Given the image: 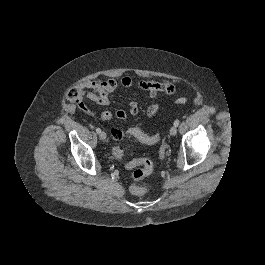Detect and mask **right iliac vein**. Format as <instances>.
I'll list each match as a JSON object with an SVG mask.
<instances>
[{
    "instance_id": "63e3f726",
    "label": "right iliac vein",
    "mask_w": 265,
    "mask_h": 265,
    "mask_svg": "<svg viewBox=\"0 0 265 265\" xmlns=\"http://www.w3.org/2000/svg\"><path fill=\"white\" fill-rule=\"evenodd\" d=\"M99 138H100V140L104 141V140L106 139V134H105V132H101V133H99Z\"/></svg>"
}]
</instances>
